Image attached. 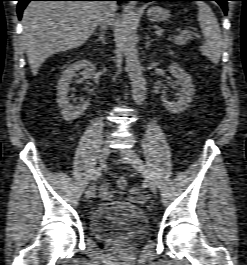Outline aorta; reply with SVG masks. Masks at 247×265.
I'll return each mask as SVG.
<instances>
[{
  "label": "aorta",
  "instance_id": "762f6f07",
  "mask_svg": "<svg viewBox=\"0 0 247 265\" xmlns=\"http://www.w3.org/2000/svg\"><path fill=\"white\" fill-rule=\"evenodd\" d=\"M134 8V2L124 7L120 22V36L126 70L132 87V97L136 104L141 105L146 98V81L142 74L138 51L135 46Z\"/></svg>",
  "mask_w": 247,
  "mask_h": 265
}]
</instances>
